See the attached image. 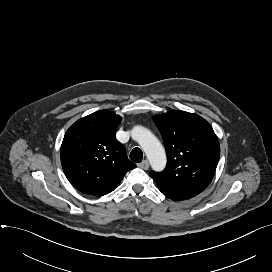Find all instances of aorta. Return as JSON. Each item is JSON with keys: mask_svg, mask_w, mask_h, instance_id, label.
Listing matches in <instances>:
<instances>
[{"mask_svg": "<svg viewBox=\"0 0 272 272\" xmlns=\"http://www.w3.org/2000/svg\"><path fill=\"white\" fill-rule=\"evenodd\" d=\"M132 138L142 147L152 168L155 171H162L166 166L167 158L164 147L157 137L147 128L135 126L132 129Z\"/></svg>", "mask_w": 272, "mask_h": 272, "instance_id": "aorta-1", "label": "aorta"}]
</instances>
